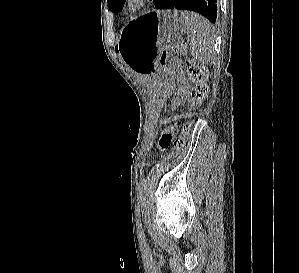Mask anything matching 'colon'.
<instances>
[{"mask_svg": "<svg viewBox=\"0 0 299 273\" xmlns=\"http://www.w3.org/2000/svg\"><path fill=\"white\" fill-rule=\"evenodd\" d=\"M184 53V47L179 43H171L164 45L160 56V63L168 65L171 73L177 81L178 89L177 95L171 104V110H175L184 100H189L190 106L195 108L199 106L207 96L208 86L205 83L206 69L205 67L194 60H188L183 66L177 59ZM189 82L193 83L190 87ZM192 124L184 123L182 133L174 139L173 151L171 155L166 158V161L177 156L179 152L185 147L187 138L191 133Z\"/></svg>", "mask_w": 299, "mask_h": 273, "instance_id": "1", "label": "colon"}]
</instances>
